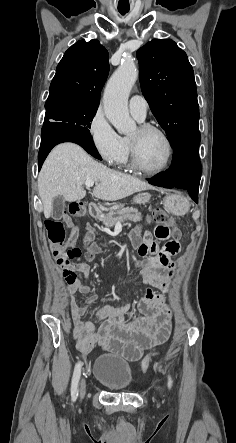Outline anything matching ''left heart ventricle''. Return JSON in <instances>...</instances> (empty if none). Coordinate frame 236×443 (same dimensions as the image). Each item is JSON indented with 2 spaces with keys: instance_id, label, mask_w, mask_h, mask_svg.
<instances>
[{
  "instance_id": "obj_1",
  "label": "left heart ventricle",
  "mask_w": 236,
  "mask_h": 443,
  "mask_svg": "<svg viewBox=\"0 0 236 443\" xmlns=\"http://www.w3.org/2000/svg\"><path fill=\"white\" fill-rule=\"evenodd\" d=\"M130 137L136 141L140 160L146 168L158 169L165 164L168 147L160 134L156 132L142 134L136 128Z\"/></svg>"
}]
</instances>
